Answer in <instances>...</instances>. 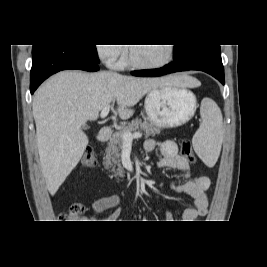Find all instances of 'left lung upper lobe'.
<instances>
[{"label":"left lung upper lobe","mask_w":267,"mask_h":267,"mask_svg":"<svg viewBox=\"0 0 267 267\" xmlns=\"http://www.w3.org/2000/svg\"><path fill=\"white\" fill-rule=\"evenodd\" d=\"M197 45H176L174 48L173 54L175 59H178L183 56V54L188 51L189 49L195 47Z\"/></svg>","instance_id":"left-lung-upper-lobe-1"}]
</instances>
